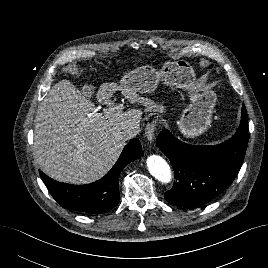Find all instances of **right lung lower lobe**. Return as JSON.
Returning <instances> with one entry per match:
<instances>
[{
    "label": "right lung lower lobe",
    "instance_id": "obj_1",
    "mask_svg": "<svg viewBox=\"0 0 268 268\" xmlns=\"http://www.w3.org/2000/svg\"><path fill=\"white\" fill-rule=\"evenodd\" d=\"M143 156L138 139L131 140L122 151L113 168L100 180L86 185H71L40 176L53 198L65 209L100 214L116 206L120 200L118 179L123 168Z\"/></svg>",
    "mask_w": 268,
    "mask_h": 268
}]
</instances>
